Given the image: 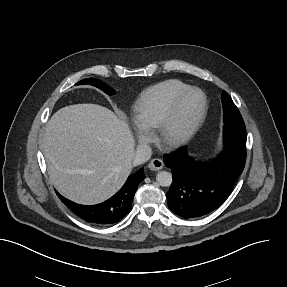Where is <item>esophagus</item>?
I'll list each match as a JSON object with an SVG mask.
<instances>
[{
	"label": "esophagus",
	"instance_id": "34e87169",
	"mask_svg": "<svg viewBox=\"0 0 287 287\" xmlns=\"http://www.w3.org/2000/svg\"><path fill=\"white\" fill-rule=\"evenodd\" d=\"M148 168L153 171H158L163 168V161L159 158H154L148 164Z\"/></svg>",
	"mask_w": 287,
	"mask_h": 287
}]
</instances>
